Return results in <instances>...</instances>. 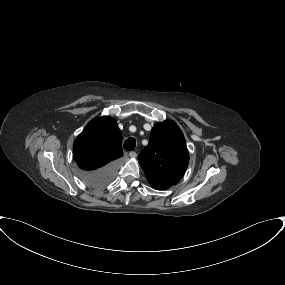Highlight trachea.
Masks as SVG:
<instances>
[{"label":"trachea","instance_id":"1","mask_svg":"<svg viewBox=\"0 0 285 285\" xmlns=\"http://www.w3.org/2000/svg\"><path fill=\"white\" fill-rule=\"evenodd\" d=\"M123 147L127 151H133L136 147V140L133 137L128 138L125 140Z\"/></svg>","mask_w":285,"mask_h":285}]
</instances>
